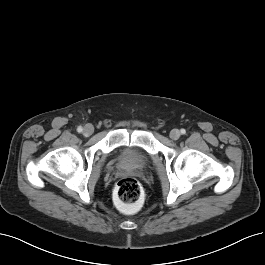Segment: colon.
<instances>
[{"instance_id": "colon-1", "label": "colon", "mask_w": 265, "mask_h": 265, "mask_svg": "<svg viewBox=\"0 0 265 265\" xmlns=\"http://www.w3.org/2000/svg\"><path fill=\"white\" fill-rule=\"evenodd\" d=\"M114 195L122 207H131L138 204L143 195L140 183L134 178H123L116 184Z\"/></svg>"}]
</instances>
